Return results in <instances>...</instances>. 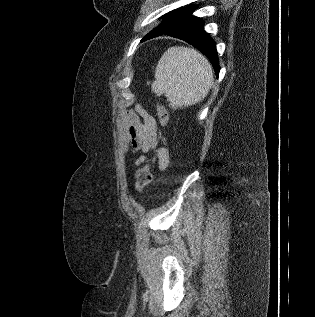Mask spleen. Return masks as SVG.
Segmentation results:
<instances>
[{"label":"spleen","mask_w":315,"mask_h":317,"mask_svg":"<svg viewBox=\"0 0 315 317\" xmlns=\"http://www.w3.org/2000/svg\"><path fill=\"white\" fill-rule=\"evenodd\" d=\"M213 86L209 61L192 48L170 47L160 58L152 90L167 97L173 109L202 101Z\"/></svg>","instance_id":"1"}]
</instances>
